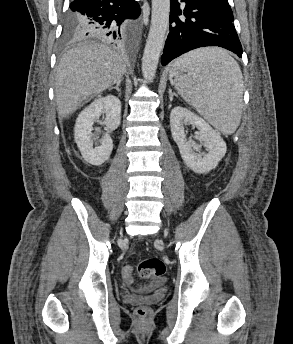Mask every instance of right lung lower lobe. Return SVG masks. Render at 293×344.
Returning a JSON list of instances; mask_svg holds the SVG:
<instances>
[{
	"label": "right lung lower lobe",
	"mask_w": 293,
	"mask_h": 344,
	"mask_svg": "<svg viewBox=\"0 0 293 344\" xmlns=\"http://www.w3.org/2000/svg\"><path fill=\"white\" fill-rule=\"evenodd\" d=\"M70 9L85 17L82 38L98 37L116 42L126 39L131 21L140 14L135 0H74Z\"/></svg>",
	"instance_id": "98d812e1"
}]
</instances>
